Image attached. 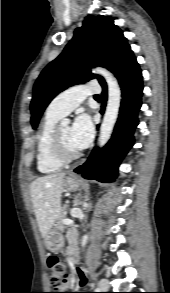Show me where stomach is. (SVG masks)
<instances>
[{
	"mask_svg": "<svg viewBox=\"0 0 170 293\" xmlns=\"http://www.w3.org/2000/svg\"><path fill=\"white\" fill-rule=\"evenodd\" d=\"M81 186V179L73 174H69L64 179V191H75ZM46 248L51 252H59L64 246L63 235L56 231L50 230L44 238Z\"/></svg>",
	"mask_w": 170,
	"mask_h": 293,
	"instance_id": "stomach-1",
	"label": "stomach"
}]
</instances>
